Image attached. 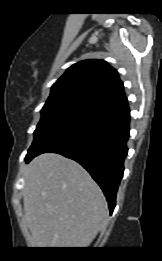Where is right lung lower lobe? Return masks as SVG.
I'll return each instance as SVG.
<instances>
[{
	"label": "right lung lower lobe",
	"mask_w": 162,
	"mask_h": 261,
	"mask_svg": "<svg viewBox=\"0 0 162 261\" xmlns=\"http://www.w3.org/2000/svg\"><path fill=\"white\" fill-rule=\"evenodd\" d=\"M129 122L128 102L123 97L62 126L27 154L25 160L54 152L77 161L102 188L112 214L128 153Z\"/></svg>",
	"instance_id": "right-lung-lower-lobe-1"
}]
</instances>
